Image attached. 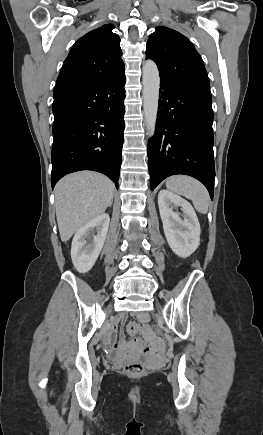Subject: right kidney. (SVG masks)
<instances>
[{"label": "right kidney", "mask_w": 263, "mask_h": 435, "mask_svg": "<svg viewBox=\"0 0 263 435\" xmlns=\"http://www.w3.org/2000/svg\"><path fill=\"white\" fill-rule=\"evenodd\" d=\"M110 217L108 214H101L83 225L75 234L72 240L71 258L72 262L80 273H86L94 266L106 239ZM92 232L93 239L90 238Z\"/></svg>", "instance_id": "obj_1"}]
</instances>
